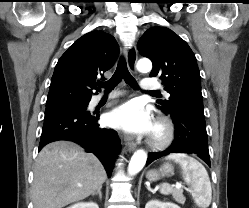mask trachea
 <instances>
[{
    "instance_id": "obj_1",
    "label": "trachea",
    "mask_w": 249,
    "mask_h": 208,
    "mask_svg": "<svg viewBox=\"0 0 249 208\" xmlns=\"http://www.w3.org/2000/svg\"><path fill=\"white\" fill-rule=\"evenodd\" d=\"M122 79L134 89L139 88L136 80L128 71L126 62L123 58L120 59L113 76L106 82H100L98 86L104 88L106 92H110L122 81ZM151 94L158 95L159 92L154 91L151 92Z\"/></svg>"
}]
</instances>
